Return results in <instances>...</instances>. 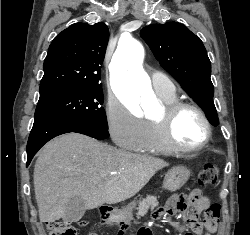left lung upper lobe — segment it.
<instances>
[{
	"label": "left lung upper lobe",
	"mask_w": 250,
	"mask_h": 235,
	"mask_svg": "<svg viewBox=\"0 0 250 235\" xmlns=\"http://www.w3.org/2000/svg\"><path fill=\"white\" fill-rule=\"evenodd\" d=\"M140 35L161 66L204 110L208 120L217 126L214 87L210 79L211 63L201 39L178 22L146 26Z\"/></svg>",
	"instance_id": "left-lung-upper-lobe-1"
}]
</instances>
